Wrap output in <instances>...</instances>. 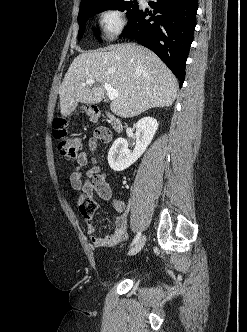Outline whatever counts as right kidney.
I'll use <instances>...</instances> for the list:
<instances>
[{"mask_svg": "<svg viewBox=\"0 0 247 332\" xmlns=\"http://www.w3.org/2000/svg\"><path fill=\"white\" fill-rule=\"evenodd\" d=\"M135 128L136 145L133 152L128 149V142L124 138L116 139L109 150L108 163L114 171H123L140 158L153 140L158 122L153 117H144L136 123Z\"/></svg>", "mask_w": 247, "mask_h": 332, "instance_id": "ca27d5eb", "label": "right kidney"}]
</instances>
